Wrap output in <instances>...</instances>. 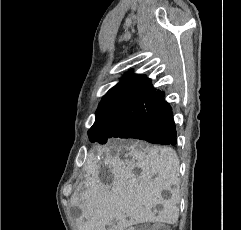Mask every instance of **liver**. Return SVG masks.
I'll return each mask as SVG.
<instances>
[{
    "instance_id": "1",
    "label": "liver",
    "mask_w": 241,
    "mask_h": 230,
    "mask_svg": "<svg viewBox=\"0 0 241 230\" xmlns=\"http://www.w3.org/2000/svg\"><path fill=\"white\" fill-rule=\"evenodd\" d=\"M97 156L99 160L91 157L94 161L85 187L71 197L72 205L82 210L79 230H107L114 221L118 230L137 223L177 221V190L169 200L160 195L162 189L179 184V159L173 149L153 146L142 150L137 145H124L103 147ZM135 168L140 169L139 175ZM102 171L113 179L111 186L100 179ZM157 204L163 209L152 211Z\"/></svg>"
}]
</instances>
